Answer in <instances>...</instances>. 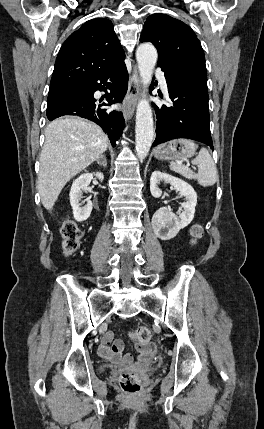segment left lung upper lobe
<instances>
[{
	"label": "left lung upper lobe",
	"mask_w": 264,
	"mask_h": 429,
	"mask_svg": "<svg viewBox=\"0 0 264 429\" xmlns=\"http://www.w3.org/2000/svg\"><path fill=\"white\" fill-rule=\"evenodd\" d=\"M158 50V64L164 63L207 88L205 56L193 30L166 14L150 15L140 36Z\"/></svg>",
	"instance_id": "5c2ea615"
}]
</instances>
